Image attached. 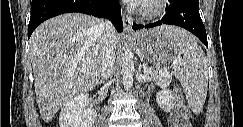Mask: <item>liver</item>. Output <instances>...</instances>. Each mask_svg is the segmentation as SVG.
<instances>
[{
    "mask_svg": "<svg viewBox=\"0 0 243 127\" xmlns=\"http://www.w3.org/2000/svg\"><path fill=\"white\" fill-rule=\"evenodd\" d=\"M104 35L98 18L79 13L51 18L33 32L30 59L44 122L74 96L98 84ZM113 40L117 46L120 35L115 32Z\"/></svg>",
    "mask_w": 243,
    "mask_h": 127,
    "instance_id": "1",
    "label": "liver"
}]
</instances>
